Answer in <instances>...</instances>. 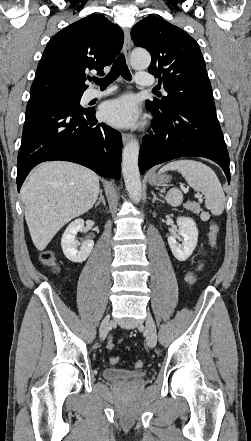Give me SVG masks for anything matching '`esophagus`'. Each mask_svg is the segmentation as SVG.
Segmentation results:
<instances>
[{"instance_id": "esophagus-1", "label": "esophagus", "mask_w": 251, "mask_h": 441, "mask_svg": "<svg viewBox=\"0 0 251 441\" xmlns=\"http://www.w3.org/2000/svg\"><path fill=\"white\" fill-rule=\"evenodd\" d=\"M130 51H131V38H130V32L129 30L125 31V37H124V54L125 57L127 59V61H129V56H130ZM132 135L129 133H122V141L123 143H127L131 140Z\"/></svg>"}]
</instances>
